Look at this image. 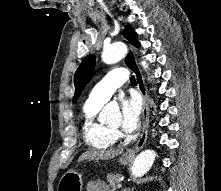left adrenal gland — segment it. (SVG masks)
Here are the masks:
<instances>
[{
    "mask_svg": "<svg viewBox=\"0 0 221 191\" xmlns=\"http://www.w3.org/2000/svg\"><path fill=\"white\" fill-rule=\"evenodd\" d=\"M121 191H133V188H132V189H130V188H124V189H122Z\"/></svg>",
    "mask_w": 221,
    "mask_h": 191,
    "instance_id": "obj_1",
    "label": "left adrenal gland"
}]
</instances>
